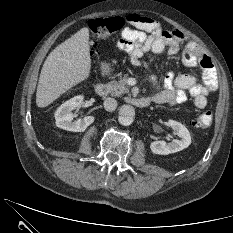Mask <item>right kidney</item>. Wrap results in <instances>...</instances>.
<instances>
[{
    "label": "right kidney",
    "mask_w": 233,
    "mask_h": 233,
    "mask_svg": "<svg viewBox=\"0 0 233 233\" xmlns=\"http://www.w3.org/2000/svg\"><path fill=\"white\" fill-rule=\"evenodd\" d=\"M83 101V96H75L63 103L55 112L56 126L73 132H83L86 128L94 122L93 116H85L73 122V115L71 111L78 107Z\"/></svg>",
    "instance_id": "right-kidney-1"
}]
</instances>
